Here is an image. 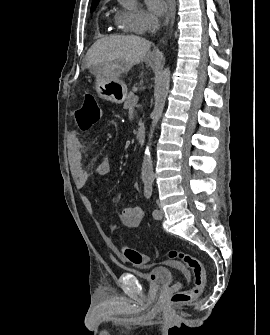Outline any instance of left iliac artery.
Wrapping results in <instances>:
<instances>
[{
  "label": "left iliac artery",
  "mask_w": 270,
  "mask_h": 335,
  "mask_svg": "<svg viewBox=\"0 0 270 335\" xmlns=\"http://www.w3.org/2000/svg\"><path fill=\"white\" fill-rule=\"evenodd\" d=\"M152 191H153L152 181L148 180V181L145 182V187H144V195L147 199H149L152 196ZM152 215H153L154 218L157 217L158 216V210L157 209L153 210Z\"/></svg>",
  "instance_id": "44dca946"
}]
</instances>
